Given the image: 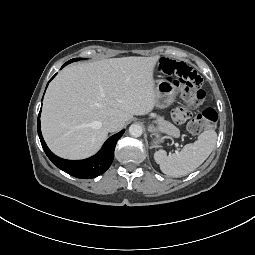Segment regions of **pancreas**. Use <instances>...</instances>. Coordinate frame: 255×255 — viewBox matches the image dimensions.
I'll return each instance as SVG.
<instances>
[{
  "label": "pancreas",
  "instance_id": "cf45deb5",
  "mask_svg": "<svg viewBox=\"0 0 255 255\" xmlns=\"http://www.w3.org/2000/svg\"><path fill=\"white\" fill-rule=\"evenodd\" d=\"M157 123L159 125V130L166 133L169 136L178 137L180 134L179 129L172 123L165 121L162 117H158Z\"/></svg>",
  "mask_w": 255,
  "mask_h": 255
}]
</instances>
